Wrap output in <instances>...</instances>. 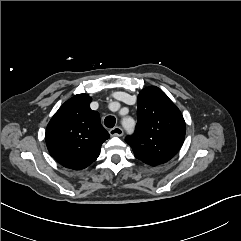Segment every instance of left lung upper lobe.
Instances as JSON below:
<instances>
[{"label":"left lung upper lobe","instance_id":"5c2ea615","mask_svg":"<svg viewBox=\"0 0 241 241\" xmlns=\"http://www.w3.org/2000/svg\"><path fill=\"white\" fill-rule=\"evenodd\" d=\"M137 125L125 141L137 159L157 166L172 159L185 138V121L177 106L158 87L138 95Z\"/></svg>","mask_w":241,"mask_h":241}]
</instances>
